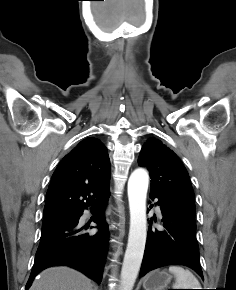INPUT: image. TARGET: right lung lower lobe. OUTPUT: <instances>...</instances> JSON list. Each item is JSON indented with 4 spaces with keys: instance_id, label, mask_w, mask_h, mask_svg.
Masks as SVG:
<instances>
[{
    "instance_id": "1",
    "label": "right lung lower lobe",
    "mask_w": 236,
    "mask_h": 290,
    "mask_svg": "<svg viewBox=\"0 0 236 290\" xmlns=\"http://www.w3.org/2000/svg\"><path fill=\"white\" fill-rule=\"evenodd\" d=\"M109 196L110 191L101 202L92 207V213L96 214L95 223L98 224L96 233L86 232L89 226L78 225L83 211L71 221L42 231L26 290L39 272L54 265H68L96 282H101L109 240L108 225L104 217Z\"/></svg>"
}]
</instances>
